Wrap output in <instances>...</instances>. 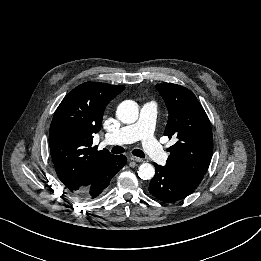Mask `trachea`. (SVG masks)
Returning <instances> with one entry per match:
<instances>
[{"instance_id": "3493384b", "label": "trachea", "mask_w": 261, "mask_h": 261, "mask_svg": "<svg viewBox=\"0 0 261 261\" xmlns=\"http://www.w3.org/2000/svg\"><path fill=\"white\" fill-rule=\"evenodd\" d=\"M123 152H124V148L121 147V146H115L112 149V153H114V154H121ZM132 154L137 156V157H140V158H144L145 157L144 152L142 150H140V149H134L132 151Z\"/></svg>"}]
</instances>
